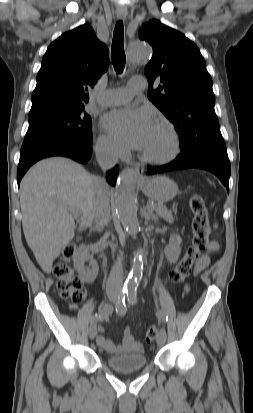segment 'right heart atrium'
I'll list each match as a JSON object with an SVG mask.
<instances>
[{
    "mask_svg": "<svg viewBox=\"0 0 253 413\" xmlns=\"http://www.w3.org/2000/svg\"><path fill=\"white\" fill-rule=\"evenodd\" d=\"M98 156L102 159L113 160L125 154L124 147L109 134L98 136L95 146Z\"/></svg>",
    "mask_w": 253,
    "mask_h": 413,
    "instance_id": "d8ad5b80",
    "label": "right heart atrium"
}]
</instances>
